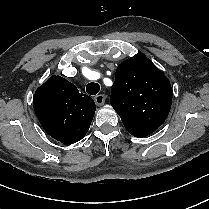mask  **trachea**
<instances>
[{
	"label": "trachea",
	"mask_w": 209,
	"mask_h": 209,
	"mask_svg": "<svg viewBox=\"0 0 209 209\" xmlns=\"http://www.w3.org/2000/svg\"><path fill=\"white\" fill-rule=\"evenodd\" d=\"M100 90V85L95 82L88 83L86 86V92L90 95H96Z\"/></svg>",
	"instance_id": "trachea-1"
}]
</instances>
